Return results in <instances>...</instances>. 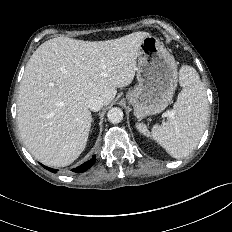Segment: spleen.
Segmentation results:
<instances>
[{"label": "spleen", "instance_id": "obj_1", "mask_svg": "<svg viewBox=\"0 0 232 232\" xmlns=\"http://www.w3.org/2000/svg\"><path fill=\"white\" fill-rule=\"evenodd\" d=\"M183 87L174 104L175 116L153 127L151 136L173 158L189 155L201 139L208 121L206 89L196 70L183 65L179 72ZM144 135L150 133L144 124L137 126Z\"/></svg>", "mask_w": 232, "mask_h": 232}]
</instances>
